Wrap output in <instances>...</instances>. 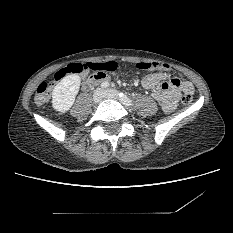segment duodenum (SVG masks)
<instances>
[{
  "instance_id": "1",
  "label": "duodenum",
  "mask_w": 233,
  "mask_h": 233,
  "mask_svg": "<svg viewBox=\"0 0 233 233\" xmlns=\"http://www.w3.org/2000/svg\"><path fill=\"white\" fill-rule=\"evenodd\" d=\"M107 80H108V77L106 74L97 72L85 80L84 87L88 88L91 86H95V85L100 84V83L107 81Z\"/></svg>"
}]
</instances>
